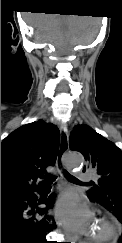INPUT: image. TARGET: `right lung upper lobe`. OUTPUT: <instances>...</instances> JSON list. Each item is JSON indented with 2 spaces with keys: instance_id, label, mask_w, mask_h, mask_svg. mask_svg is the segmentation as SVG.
<instances>
[{
  "instance_id": "cb5924a9",
  "label": "right lung upper lobe",
  "mask_w": 122,
  "mask_h": 243,
  "mask_svg": "<svg viewBox=\"0 0 122 243\" xmlns=\"http://www.w3.org/2000/svg\"><path fill=\"white\" fill-rule=\"evenodd\" d=\"M59 130L42 120L26 124L1 143V199L40 186L38 178L53 166L59 149Z\"/></svg>"
}]
</instances>
